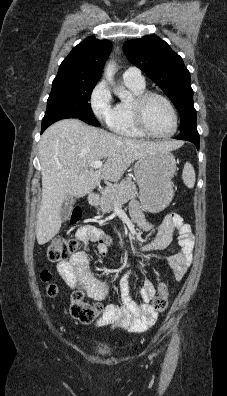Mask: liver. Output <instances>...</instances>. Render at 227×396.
I'll list each match as a JSON object with an SVG mask.
<instances>
[{
  "label": "liver",
  "mask_w": 227,
  "mask_h": 396,
  "mask_svg": "<svg viewBox=\"0 0 227 396\" xmlns=\"http://www.w3.org/2000/svg\"><path fill=\"white\" fill-rule=\"evenodd\" d=\"M179 146L175 141L149 142L117 136L74 118L51 125L39 143L42 200L36 222L38 244L43 245L58 234L62 223L60 209L68 195L83 197L101 179L117 182L141 156ZM102 159H106L105 164L94 171L90 164Z\"/></svg>",
  "instance_id": "1"
}]
</instances>
